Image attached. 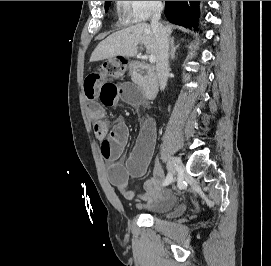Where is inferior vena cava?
I'll list each match as a JSON object with an SVG mask.
<instances>
[{
    "instance_id": "602c4592",
    "label": "inferior vena cava",
    "mask_w": 271,
    "mask_h": 266,
    "mask_svg": "<svg viewBox=\"0 0 271 266\" xmlns=\"http://www.w3.org/2000/svg\"><path fill=\"white\" fill-rule=\"evenodd\" d=\"M162 10L163 6L161 4L155 7L151 20V28L155 34L158 49L156 74L159 79L160 89L164 90L169 72V36L165 27L159 22Z\"/></svg>"
}]
</instances>
